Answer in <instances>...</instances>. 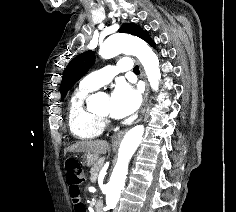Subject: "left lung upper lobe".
<instances>
[{"label":"left lung upper lobe","mask_w":236,"mask_h":212,"mask_svg":"<svg viewBox=\"0 0 236 212\" xmlns=\"http://www.w3.org/2000/svg\"><path fill=\"white\" fill-rule=\"evenodd\" d=\"M122 33H129L135 36L146 39L148 36L147 31H143L136 24H127L124 23L121 28L118 30ZM95 62V54L93 51H86L78 56H76L66 67L62 82H61V98L64 100L68 91L72 86L86 74V72L92 67Z\"/></svg>","instance_id":"5c2ea615"}]
</instances>
